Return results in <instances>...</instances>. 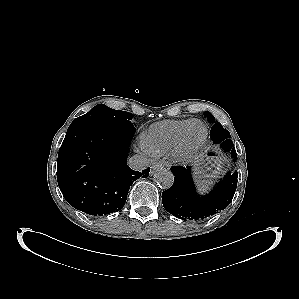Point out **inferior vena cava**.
Wrapping results in <instances>:
<instances>
[{"instance_id":"inferior-vena-cava-1","label":"inferior vena cava","mask_w":299,"mask_h":299,"mask_svg":"<svg viewBox=\"0 0 299 299\" xmlns=\"http://www.w3.org/2000/svg\"><path fill=\"white\" fill-rule=\"evenodd\" d=\"M149 159L143 155H134L128 160V165L131 169L142 171L149 166Z\"/></svg>"}]
</instances>
